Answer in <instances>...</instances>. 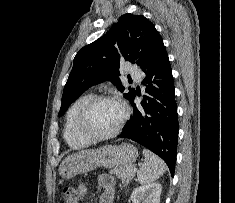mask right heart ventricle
Returning <instances> with one entry per match:
<instances>
[{
  "mask_svg": "<svg viewBox=\"0 0 235 203\" xmlns=\"http://www.w3.org/2000/svg\"><path fill=\"white\" fill-rule=\"evenodd\" d=\"M93 96L92 93L81 95L71 104L67 111L63 136L66 143L72 148H81L90 143V141L77 133L76 119L82 106Z\"/></svg>",
  "mask_w": 235,
  "mask_h": 203,
  "instance_id": "1",
  "label": "right heart ventricle"
}]
</instances>
